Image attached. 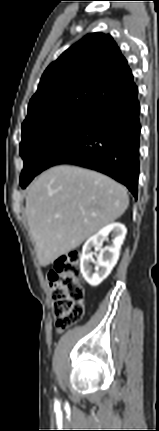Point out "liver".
<instances>
[{
  "label": "liver",
  "mask_w": 159,
  "mask_h": 431,
  "mask_svg": "<svg viewBox=\"0 0 159 431\" xmlns=\"http://www.w3.org/2000/svg\"><path fill=\"white\" fill-rule=\"evenodd\" d=\"M129 204L127 190L111 178L80 167L55 166L28 187L26 216L42 266L79 247L114 222Z\"/></svg>",
  "instance_id": "liver-1"
}]
</instances>
